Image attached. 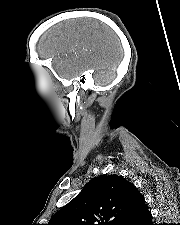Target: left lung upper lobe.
Here are the masks:
<instances>
[{
	"mask_svg": "<svg viewBox=\"0 0 180 225\" xmlns=\"http://www.w3.org/2000/svg\"><path fill=\"white\" fill-rule=\"evenodd\" d=\"M146 206L143 195L118 175L96 177L47 225H124Z\"/></svg>",
	"mask_w": 180,
	"mask_h": 225,
	"instance_id": "left-lung-upper-lobe-1",
	"label": "left lung upper lobe"
}]
</instances>
